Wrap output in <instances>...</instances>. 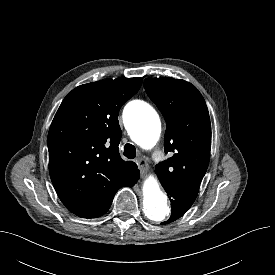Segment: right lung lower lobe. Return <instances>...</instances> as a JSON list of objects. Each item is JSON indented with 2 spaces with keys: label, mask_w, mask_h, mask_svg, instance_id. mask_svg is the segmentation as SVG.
<instances>
[{
  "label": "right lung lower lobe",
  "mask_w": 275,
  "mask_h": 275,
  "mask_svg": "<svg viewBox=\"0 0 275 275\" xmlns=\"http://www.w3.org/2000/svg\"><path fill=\"white\" fill-rule=\"evenodd\" d=\"M139 178V171L138 170H135L131 176L129 177L127 183H126V186H133L136 182H137V179Z\"/></svg>",
  "instance_id": "1"
}]
</instances>
